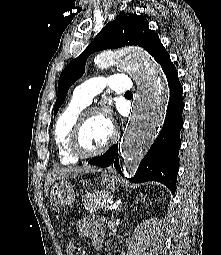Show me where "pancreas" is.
<instances>
[{"mask_svg":"<svg viewBox=\"0 0 221 255\" xmlns=\"http://www.w3.org/2000/svg\"><path fill=\"white\" fill-rule=\"evenodd\" d=\"M112 195L107 191H95L86 195L83 199L85 209L89 212L94 211H107L108 203H106L107 199H111Z\"/></svg>","mask_w":221,"mask_h":255,"instance_id":"1","label":"pancreas"}]
</instances>
